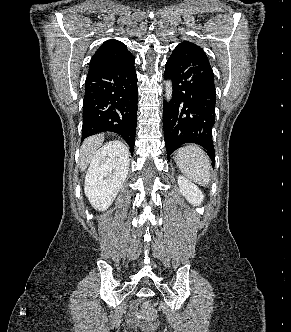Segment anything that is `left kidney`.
Here are the masks:
<instances>
[{
  "label": "left kidney",
  "mask_w": 291,
  "mask_h": 332,
  "mask_svg": "<svg viewBox=\"0 0 291 332\" xmlns=\"http://www.w3.org/2000/svg\"><path fill=\"white\" fill-rule=\"evenodd\" d=\"M180 192L191 204H201L204 199L202 191L183 176L178 177Z\"/></svg>",
  "instance_id": "left-kidney-1"
}]
</instances>
